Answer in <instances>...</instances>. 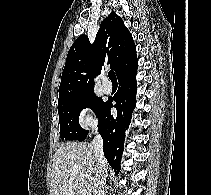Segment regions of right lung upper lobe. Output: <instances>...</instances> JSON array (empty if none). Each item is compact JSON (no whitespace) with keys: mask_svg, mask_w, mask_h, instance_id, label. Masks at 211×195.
Wrapping results in <instances>:
<instances>
[{"mask_svg":"<svg viewBox=\"0 0 211 195\" xmlns=\"http://www.w3.org/2000/svg\"><path fill=\"white\" fill-rule=\"evenodd\" d=\"M106 60L117 77L137 64L132 35L115 12L103 20L93 44L83 34L71 46L61 77L58 104L93 92L94 77L100 74Z\"/></svg>","mask_w":211,"mask_h":195,"instance_id":"right-lung-upper-lobe-1","label":"right lung upper lobe"}]
</instances>
